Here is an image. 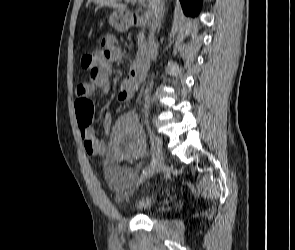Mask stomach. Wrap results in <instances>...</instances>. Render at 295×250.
Segmentation results:
<instances>
[{
	"instance_id": "0dacf381",
	"label": "stomach",
	"mask_w": 295,
	"mask_h": 250,
	"mask_svg": "<svg viewBox=\"0 0 295 250\" xmlns=\"http://www.w3.org/2000/svg\"><path fill=\"white\" fill-rule=\"evenodd\" d=\"M109 22L118 31H125L130 24L128 16L119 10L111 14Z\"/></svg>"
}]
</instances>
